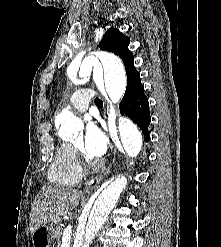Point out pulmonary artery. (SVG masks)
<instances>
[{
  "label": "pulmonary artery",
  "instance_id": "pulmonary-artery-1",
  "mask_svg": "<svg viewBox=\"0 0 221 247\" xmlns=\"http://www.w3.org/2000/svg\"><path fill=\"white\" fill-rule=\"evenodd\" d=\"M95 97V93L87 88L76 90L70 97L71 106L79 112H84L88 109L91 99Z\"/></svg>",
  "mask_w": 221,
  "mask_h": 247
}]
</instances>
